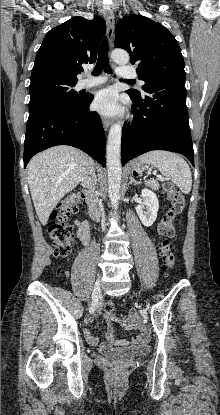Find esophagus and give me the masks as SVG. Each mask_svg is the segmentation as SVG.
Here are the masks:
<instances>
[{"label":"esophagus","mask_w":220,"mask_h":415,"mask_svg":"<svg viewBox=\"0 0 220 415\" xmlns=\"http://www.w3.org/2000/svg\"><path fill=\"white\" fill-rule=\"evenodd\" d=\"M106 24H107V37L109 41L110 48L113 46V38H114V28H115V18L114 13L111 9H108L105 14ZM104 129L107 130L110 126V120L107 118H103L102 120Z\"/></svg>","instance_id":"esophagus-1"}]
</instances>
